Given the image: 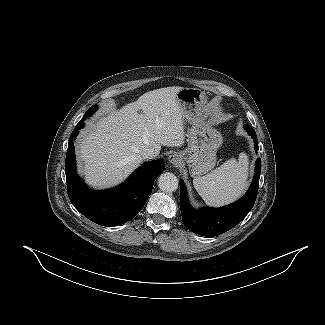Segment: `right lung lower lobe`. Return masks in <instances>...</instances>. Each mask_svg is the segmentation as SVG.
Listing matches in <instances>:
<instances>
[{"mask_svg":"<svg viewBox=\"0 0 325 325\" xmlns=\"http://www.w3.org/2000/svg\"><path fill=\"white\" fill-rule=\"evenodd\" d=\"M81 120L71 134L65 161L67 191L75 208L102 226L121 225L135 217L145 205L156 177L164 170L162 159L144 163L120 186L93 191L76 174L73 140L83 127Z\"/></svg>","mask_w":325,"mask_h":325,"instance_id":"obj_1","label":"right lung lower lobe"}]
</instances>
